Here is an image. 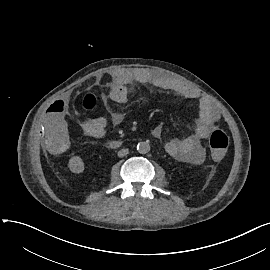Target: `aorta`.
I'll return each mask as SVG.
<instances>
[{"label": "aorta", "instance_id": "aorta-1", "mask_svg": "<svg viewBox=\"0 0 270 270\" xmlns=\"http://www.w3.org/2000/svg\"><path fill=\"white\" fill-rule=\"evenodd\" d=\"M150 144L148 142H139L137 144V151L140 154H147L150 151Z\"/></svg>", "mask_w": 270, "mask_h": 270}]
</instances>
